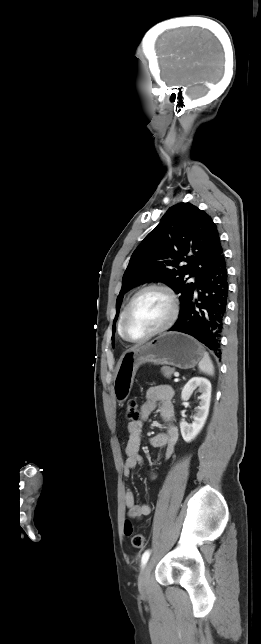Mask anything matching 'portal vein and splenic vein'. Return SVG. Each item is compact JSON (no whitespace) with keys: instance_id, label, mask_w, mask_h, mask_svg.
<instances>
[{"instance_id":"18ae733b","label":"portal vein and splenic vein","mask_w":261,"mask_h":644,"mask_svg":"<svg viewBox=\"0 0 261 644\" xmlns=\"http://www.w3.org/2000/svg\"><path fill=\"white\" fill-rule=\"evenodd\" d=\"M174 376H175V377H179V373H178V372H175V373H174Z\"/></svg>"}]
</instances>
